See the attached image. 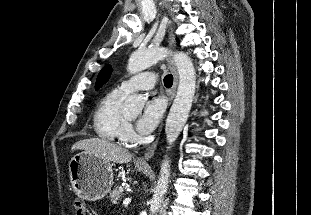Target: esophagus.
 <instances>
[{"label":"esophagus","mask_w":311,"mask_h":215,"mask_svg":"<svg viewBox=\"0 0 311 215\" xmlns=\"http://www.w3.org/2000/svg\"><path fill=\"white\" fill-rule=\"evenodd\" d=\"M168 42H169V46L172 48L175 43V39L172 33L169 34ZM169 68L171 69L173 76H174V82H173L172 93H171V99H172L175 95V91H176L177 84H178V73H177L175 63L172 59H169ZM161 128H162V125L160 126L159 131H161ZM157 144H158V139L151 146L147 148L143 156L139 157L136 160V164L140 166H148V161L153 157L155 150L157 148Z\"/></svg>","instance_id":"obj_1"}]
</instances>
